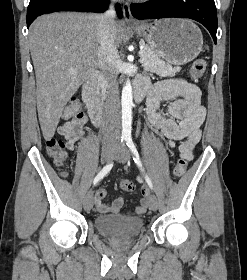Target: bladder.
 <instances>
[{
    "instance_id": "obj_1",
    "label": "bladder",
    "mask_w": 247,
    "mask_h": 280,
    "mask_svg": "<svg viewBox=\"0 0 247 280\" xmlns=\"http://www.w3.org/2000/svg\"><path fill=\"white\" fill-rule=\"evenodd\" d=\"M96 230L107 237L118 240L135 238L144 229V220L139 217L101 215L95 218Z\"/></svg>"
}]
</instances>
